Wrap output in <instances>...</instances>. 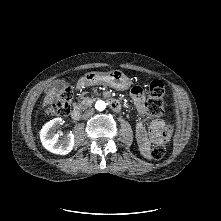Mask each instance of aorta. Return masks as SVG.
I'll return each mask as SVG.
<instances>
[{
  "label": "aorta",
  "instance_id": "1",
  "mask_svg": "<svg viewBox=\"0 0 221 221\" xmlns=\"http://www.w3.org/2000/svg\"><path fill=\"white\" fill-rule=\"evenodd\" d=\"M95 108H96L98 111H103V110H105V108H106V103H105V101H102V100L97 101L96 104H95Z\"/></svg>",
  "mask_w": 221,
  "mask_h": 221
}]
</instances>
